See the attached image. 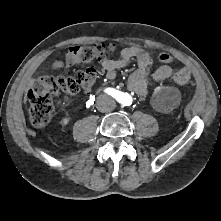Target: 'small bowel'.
I'll list each match as a JSON object with an SVG mask.
<instances>
[{"mask_svg": "<svg viewBox=\"0 0 221 221\" xmlns=\"http://www.w3.org/2000/svg\"><path fill=\"white\" fill-rule=\"evenodd\" d=\"M131 59L137 61V69L129 76L127 88L139 95L146 96L153 83L168 79L172 75V68L169 65L171 57L168 54H160L161 65L152 73L148 79V74L155 64L153 56L145 49L136 46L124 48L118 59H104L100 65L105 72L107 80L116 78L117 71L126 67Z\"/></svg>", "mask_w": 221, "mask_h": 221, "instance_id": "obj_1", "label": "small bowel"}]
</instances>
